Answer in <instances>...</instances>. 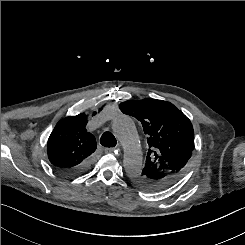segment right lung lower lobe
<instances>
[{
  "label": "right lung lower lobe",
  "instance_id": "right-lung-lower-lobe-1",
  "mask_svg": "<svg viewBox=\"0 0 245 245\" xmlns=\"http://www.w3.org/2000/svg\"><path fill=\"white\" fill-rule=\"evenodd\" d=\"M90 165H91V163H90V159H89L88 161L82 163L81 165H79L75 168H72L69 170H62V169H58V170L65 175L76 176V175H79V174L86 172L89 169Z\"/></svg>",
  "mask_w": 245,
  "mask_h": 245
}]
</instances>
